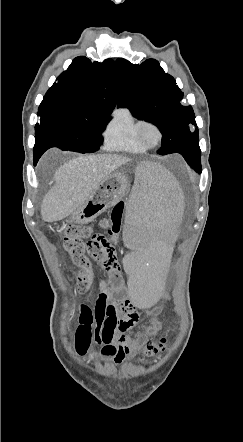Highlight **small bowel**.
<instances>
[{"instance_id": "1", "label": "small bowel", "mask_w": 243, "mask_h": 442, "mask_svg": "<svg viewBox=\"0 0 243 442\" xmlns=\"http://www.w3.org/2000/svg\"><path fill=\"white\" fill-rule=\"evenodd\" d=\"M102 240V235H94V241L99 245ZM90 256L106 270L109 282H100L99 294L93 306L87 303L78 305L75 349L78 355L91 361L104 360L120 365L134 357L160 331V308L150 309L146 320L140 321L135 307L126 296L115 250L112 249L108 257H100L98 250L94 249ZM135 326H138L137 330H133ZM92 344L100 346L99 353L91 350Z\"/></svg>"}]
</instances>
